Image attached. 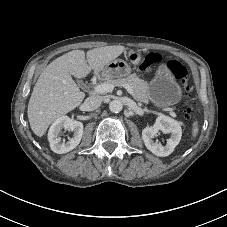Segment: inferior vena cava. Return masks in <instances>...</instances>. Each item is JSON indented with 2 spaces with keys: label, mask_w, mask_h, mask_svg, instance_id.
I'll return each mask as SVG.
<instances>
[{
  "label": "inferior vena cava",
  "mask_w": 227,
  "mask_h": 227,
  "mask_svg": "<svg viewBox=\"0 0 227 227\" xmlns=\"http://www.w3.org/2000/svg\"><path fill=\"white\" fill-rule=\"evenodd\" d=\"M103 98L99 95H92L88 97L84 102L85 110L93 111L99 108L102 104Z\"/></svg>",
  "instance_id": "inferior-vena-cava-1"
}]
</instances>
